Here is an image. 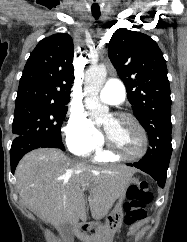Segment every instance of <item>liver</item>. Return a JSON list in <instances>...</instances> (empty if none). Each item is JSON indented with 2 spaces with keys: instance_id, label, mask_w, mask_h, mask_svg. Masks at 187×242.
I'll use <instances>...</instances> for the list:
<instances>
[{
  "instance_id": "1",
  "label": "liver",
  "mask_w": 187,
  "mask_h": 242,
  "mask_svg": "<svg viewBox=\"0 0 187 242\" xmlns=\"http://www.w3.org/2000/svg\"><path fill=\"white\" fill-rule=\"evenodd\" d=\"M136 172L127 166L93 168L57 149H37L19 162L15 176L20 200L54 227L76 226L85 217L84 191L93 219L105 217Z\"/></svg>"
}]
</instances>
